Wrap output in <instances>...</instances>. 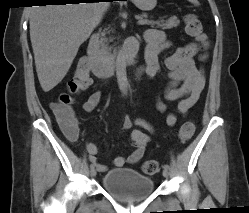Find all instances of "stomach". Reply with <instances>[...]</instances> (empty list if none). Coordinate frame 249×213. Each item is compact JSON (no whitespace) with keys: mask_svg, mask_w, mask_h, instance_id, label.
<instances>
[{"mask_svg":"<svg viewBox=\"0 0 249 213\" xmlns=\"http://www.w3.org/2000/svg\"><path fill=\"white\" fill-rule=\"evenodd\" d=\"M133 2L141 10H151L156 6V0H133Z\"/></svg>","mask_w":249,"mask_h":213,"instance_id":"1","label":"stomach"}]
</instances>
